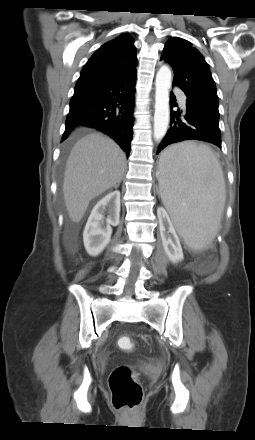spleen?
<instances>
[{
    "label": "spleen",
    "instance_id": "obj_1",
    "mask_svg": "<svg viewBox=\"0 0 255 440\" xmlns=\"http://www.w3.org/2000/svg\"><path fill=\"white\" fill-rule=\"evenodd\" d=\"M159 187L178 233L194 250L214 240L226 200L222 167L206 145L185 142L162 154Z\"/></svg>",
    "mask_w": 255,
    "mask_h": 440
}]
</instances>
